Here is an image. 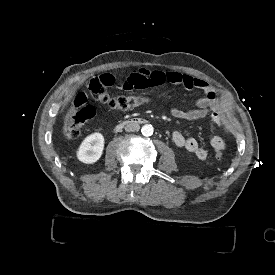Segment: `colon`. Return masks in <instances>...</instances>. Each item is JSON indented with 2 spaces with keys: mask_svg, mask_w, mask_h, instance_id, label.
Masks as SVG:
<instances>
[{
  "mask_svg": "<svg viewBox=\"0 0 275 275\" xmlns=\"http://www.w3.org/2000/svg\"><path fill=\"white\" fill-rule=\"evenodd\" d=\"M85 88H90L93 98L100 104L108 106L111 109H129L139 107L148 101L144 96H125L113 97L105 93L106 86L101 82L100 77H85ZM85 92H79L73 101V106L63 123V132L68 138H77L83 133L85 123L94 118L96 108L89 103ZM216 162L224 161L225 156L220 150L213 152Z\"/></svg>",
  "mask_w": 275,
  "mask_h": 275,
  "instance_id": "5ec220e1",
  "label": "colon"
}]
</instances>
